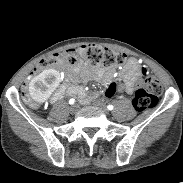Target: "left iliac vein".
Returning a JSON list of instances; mask_svg holds the SVG:
<instances>
[{
	"mask_svg": "<svg viewBox=\"0 0 183 183\" xmlns=\"http://www.w3.org/2000/svg\"><path fill=\"white\" fill-rule=\"evenodd\" d=\"M95 106H97L98 108H100L104 113H108L107 108L105 107V105L102 102L96 101L94 103Z\"/></svg>",
	"mask_w": 183,
	"mask_h": 183,
	"instance_id": "1",
	"label": "left iliac vein"
}]
</instances>
